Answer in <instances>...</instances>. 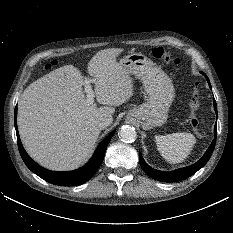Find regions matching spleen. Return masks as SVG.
Wrapping results in <instances>:
<instances>
[{
	"label": "spleen",
	"instance_id": "obj_1",
	"mask_svg": "<svg viewBox=\"0 0 233 233\" xmlns=\"http://www.w3.org/2000/svg\"><path fill=\"white\" fill-rule=\"evenodd\" d=\"M195 143V136L187 132L156 136L158 151L167 162L172 164L183 162L191 153Z\"/></svg>",
	"mask_w": 233,
	"mask_h": 233
}]
</instances>
